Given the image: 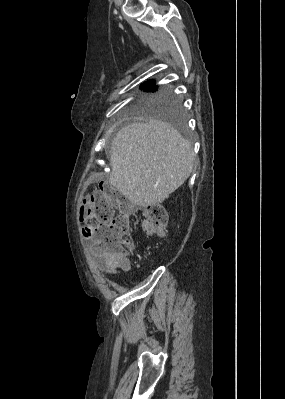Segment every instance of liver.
I'll return each instance as SVG.
<instances>
[{
	"label": "liver",
	"mask_w": 285,
	"mask_h": 399,
	"mask_svg": "<svg viewBox=\"0 0 285 399\" xmlns=\"http://www.w3.org/2000/svg\"><path fill=\"white\" fill-rule=\"evenodd\" d=\"M109 181L140 207L162 203L190 176L191 144L162 121L133 122L121 128L111 143Z\"/></svg>",
	"instance_id": "1"
}]
</instances>
